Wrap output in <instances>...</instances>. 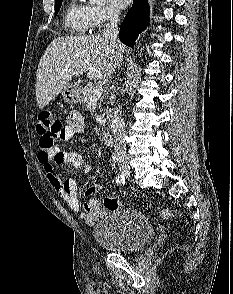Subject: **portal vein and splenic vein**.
I'll return each mask as SVG.
<instances>
[{"label":"portal vein and splenic vein","instance_id":"1","mask_svg":"<svg viewBox=\"0 0 233 294\" xmlns=\"http://www.w3.org/2000/svg\"><path fill=\"white\" fill-rule=\"evenodd\" d=\"M103 89L101 86H96L91 90L92 97L93 98H98L102 95Z\"/></svg>","mask_w":233,"mask_h":294}]
</instances>
